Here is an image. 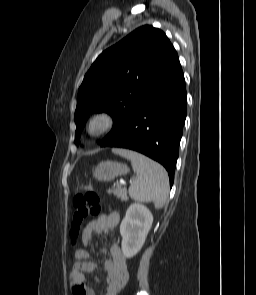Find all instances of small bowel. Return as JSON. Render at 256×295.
<instances>
[{
	"instance_id": "1",
	"label": "small bowel",
	"mask_w": 256,
	"mask_h": 295,
	"mask_svg": "<svg viewBox=\"0 0 256 295\" xmlns=\"http://www.w3.org/2000/svg\"><path fill=\"white\" fill-rule=\"evenodd\" d=\"M120 216L117 212L104 214L88 223L82 234L84 248L75 252L76 262L69 273V283L73 295H95L93 288L86 285V273H91L97 268V263L90 260L89 246L96 234L107 233L117 227ZM110 259L103 262L105 270L106 291L103 295H118L128 280L129 273L126 258L118 244L110 250ZM97 281H100L97 278Z\"/></svg>"
}]
</instances>
